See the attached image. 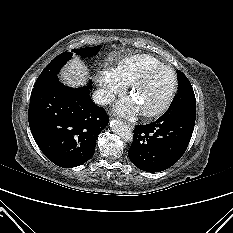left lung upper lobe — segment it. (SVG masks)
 Wrapping results in <instances>:
<instances>
[{
    "instance_id": "5c2ea615",
    "label": "left lung upper lobe",
    "mask_w": 233,
    "mask_h": 233,
    "mask_svg": "<svg viewBox=\"0 0 233 233\" xmlns=\"http://www.w3.org/2000/svg\"><path fill=\"white\" fill-rule=\"evenodd\" d=\"M179 88L170 107L166 112L169 113H195L196 100L193 88L188 78L180 71H177Z\"/></svg>"
}]
</instances>
